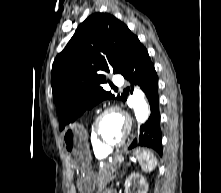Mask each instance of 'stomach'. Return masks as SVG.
<instances>
[{
  "label": "stomach",
  "instance_id": "obj_1",
  "mask_svg": "<svg viewBox=\"0 0 221 193\" xmlns=\"http://www.w3.org/2000/svg\"><path fill=\"white\" fill-rule=\"evenodd\" d=\"M66 133H61L64 142V152L70 155V159H75L73 167H77V172H81V182H87V186L83 184L79 187L82 193H89L93 190V182L101 179V174H94L95 167H91L90 150L88 147V137L83 129V125H76L70 122L65 125Z\"/></svg>",
  "mask_w": 221,
  "mask_h": 193
}]
</instances>
